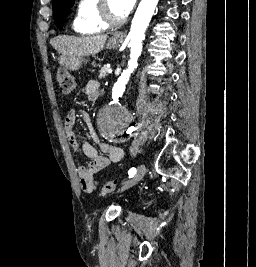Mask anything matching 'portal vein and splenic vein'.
I'll use <instances>...</instances> for the list:
<instances>
[{
    "label": "portal vein and splenic vein",
    "mask_w": 256,
    "mask_h": 267,
    "mask_svg": "<svg viewBox=\"0 0 256 267\" xmlns=\"http://www.w3.org/2000/svg\"><path fill=\"white\" fill-rule=\"evenodd\" d=\"M107 73H108V74H111V73H112V68H109V69L107 70Z\"/></svg>",
    "instance_id": "18ae733b"
}]
</instances>
